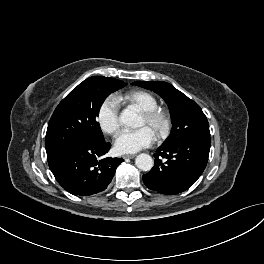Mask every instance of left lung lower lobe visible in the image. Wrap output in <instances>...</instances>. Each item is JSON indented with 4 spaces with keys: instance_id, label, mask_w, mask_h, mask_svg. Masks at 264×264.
<instances>
[{
    "instance_id": "left-lung-lower-lobe-1",
    "label": "left lung lower lobe",
    "mask_w": 264,
    "mask_h": 264,
    "mask_svg": "<svg viewBox=\"0 0 264 264\" xmlns=\"http://www.w3.org/2000/svg\"><path fill=\"white\" fill-rule=\"evenodd\" d=\"M210 151V137H196L162 144L154 154V167L143 175L144 184L164 194H178L192 186L203 173ZM165 158V162L162 161Z\"/></svg>"
}]
</instances>
